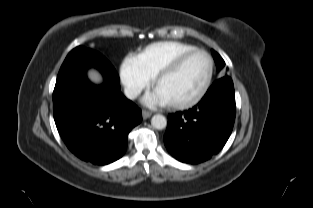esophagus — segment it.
Returning <instances> with one entry per match:
<instances>
[{
  "mask_svg": "<svg viewBox=\"0 0 313 208\" xmlns=\"http://www.w3.org/2000/svg\"><path fill=\"white\" fill-rule=\"evenodd\" d=\"M152 115V112L148 111V110H143L142 111V116H143V119H148L150 118Z\"/></svg>",
  "mask_w": 313,
  "mask_h": 208,
  "instance_id": "1",
  "label": "esophagus"
}]
</instances>
